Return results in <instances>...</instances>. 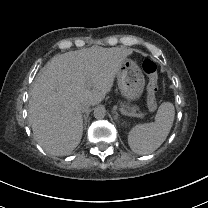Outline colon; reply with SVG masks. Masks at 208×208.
Returning a JSON list of instances; mask_svg holds the SVG:
<instances>
[{
    "label": "colon",
    "mask_w": 208,
    "mask_h": 208,
    "mask_svg": "<svg viewBox=\"0 0 208 208\" xmlns=\"http://www.w3.org/2000/svg\"><path fill=\"white\" fill-rule=\"evenodd\" d=\"M142 69L147 77V105L150 110H154L156 108V92L158 81L157 65L154 60L146 58L142 63Z\"/></svg>",
    "instance_id": "5ec220e1"
}]
</instances>
